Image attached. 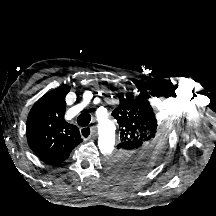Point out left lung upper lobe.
<instances>
[{
	"mask_svg": "<svg viewBox=\"0 0 216 216\" xmlns=\"http://www.w3.org/2000/svg\"><path fill=\"white\" fill-rule=\"evenodd\" d=\"M148 93L120 98L112 116L119 125L120 143L106 161L108 172L121 179L142 176L161 161L168 142L163 115L151 107Z\"/></svg>",
	"mask_w": 216,
	"mask_h": 216,
	"instance_id": "obj_1",
	"label": "left lung upper lobe"
}]
</instances>
